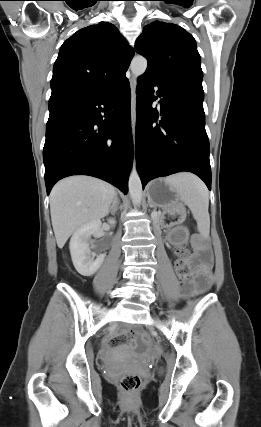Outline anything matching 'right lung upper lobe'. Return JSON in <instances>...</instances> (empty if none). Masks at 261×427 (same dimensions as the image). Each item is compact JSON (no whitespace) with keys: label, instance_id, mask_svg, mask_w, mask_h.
Listing matches in <instances>:
<instances>
[{"label":"right lung upper lobe","instance_id":"obj_1","mask_svg":"<svg viewBox=\"0 0 261 427\" xmlns=\"http://www.w3.org/2000/svg\"><path fill=\"white\" fill-rule=\"evenodd\" d=\"M134 51L111 23L78 30L54 63L49 110L97 96L126 78Z\"/></svg>","mask_w":261,"mask_h":427}]
</instances>
